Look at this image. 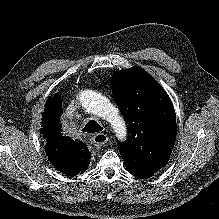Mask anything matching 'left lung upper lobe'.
Wrapping results in <instances>:
<instances>
[{
    "mask_svg": "<svg viewBox=\"0 0 219 219\" xmlns=\"http://www.w3.org/2000/svg\"><path fill=\"white\" fill-rule=\"evenodd\" d=\"M114 100L128 124V138L118 149L129 168H162L176 139L172 102L160 84L140 67L115 72Z\"/></svg>",
    "mask_w": 219,
    "mask_h": 219,
    "instance_id": "5c2ea615",
    "label": "left lung upper lobe"
}]
</instances>
